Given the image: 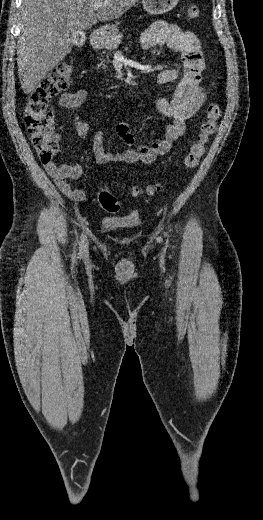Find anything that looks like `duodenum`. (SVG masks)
Segmentation results:
<instances>
[{
	"label": "duodenum",
	"instance_id": "duodenum-1",
	"mask_svg": "<svg viewBox=\"0 0 263 520\" xmlns=\"http://www.w3.org/2000/svg\"><path fill=\"white\" fill-rule=\"evenodd\" d=\"M99 44L98 34L94 33L91 37V45L93 49H97Z\"/></svg>",
	"mask_w": 263,
	"mask_h": 520
}]
</instances>
